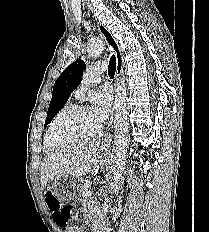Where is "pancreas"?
Segmentation results:
<instances>
[{
  "instance_id": "cf45deb5",
  "label": "pancreas",
  "mask_w": 209,
  "mask_h": 232,
  "mask_svg": "<svg viewBox=\"0 0 209 232\" xmlns=\"http://www.w3.org/2000/svg\"><path fill=\"white\" fill-rule=\"evenodd\" d=\"M91 187V181L90 180H85L81 184V192L84 195L85 192L89 191Z\"/></svg>"
}]
</instances>
